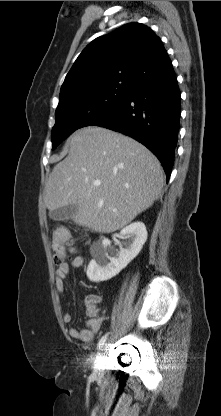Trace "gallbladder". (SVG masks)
I'll return each mask as SVG.
<instances>
[{
	"label": "gallbladder",
	"mask_w": 221,
	"mask_h": 416,
	"mask_svg": "<svg viewBox=\"0 0 221 416\" xmlns=\"http://www.w3.org/2000/svg\"><path fill=\"white\" fill-rule=\"evenodd\" d=\"M77 210V205H67L50 211L49 217L54 221H64L72 218Z\"/></svg>",
	"instance_id": "1"
}]
</instances>
